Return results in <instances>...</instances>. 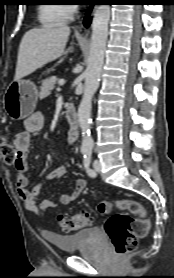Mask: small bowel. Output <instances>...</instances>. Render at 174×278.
I'll return each instance as SVG.
<instances>
[{
  "label": "small bowel",
  "mask_w": 174,
  "mask_h": 278,
  "mask_svg": "<svg viewBox=\"0 0 174 278\" xmlns=\"http://www.w3.org/2000/svg\"><path fill=\"white\" fill-rule=\"evenodd\" d=\"M44 127V116L41 113H34L24 122V131L18 133L14 138V149L16 158L13 163L16 169L17 193L23 200L26 208L36 214L40 210L47 211L57 207L54 200L46 199L38 207L36 202L44 193V183L35 185L31 190L27 189L29 178L27 175L28 163L27 157L32 148L33 137L39 134ZM68 165H61L50 172L46 178L47 181L57 180L65 175ZM87 186L85 178H79L75 183L73 191L64 193L60 197V203L68 205L76 200Z\"/></svg>",
  "instance_id": "small-bowel-1"
}]
</instances>
